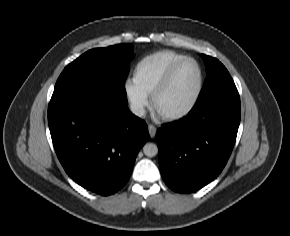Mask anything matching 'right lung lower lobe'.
Segmentation results:
<instances>
[{"label":"right lung lower lobe","mask_w":290,"mask_h":236,"mask_svg":"<svg viewBox=\"0 0 290 236\" xmlns=\"http://www.w3.org/2000/svg\"><path fill=\"white\" fill-rule=\"evenodd\" d=\"M48 123L66 173L100 195L120 190L149 138L146 123L128 109L127 99L50 101Z\"/></svg>","instance_id":"right-lung-lower-lobe-1"}]
</instances>
